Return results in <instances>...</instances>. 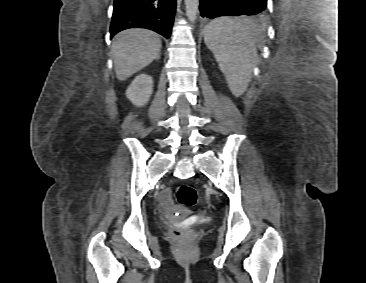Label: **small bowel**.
Returning <instances> with one entry per match:
<instances>
[{
  "label": "small bowel",
  "instance_id": "1",
  "mask_svg": "<svg viewBox=\"0 0 366 283\" xmlns=\"http://www.w3.org/2000/svg\"><path fill=\"white\" fill-rule=\"evenodd\" d=\"M160 205L166 209L171 205L170 190L168 188L161 191L159 195Z\"/></svg>",
  "mask_w": 366,
  "mask_h": 283
}]
</instances>
